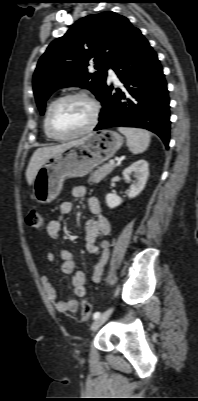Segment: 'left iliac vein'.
Masks as SVG:
<instances>
[{"instance_id": "left-iliac-vein-1", "label": "left iliac vein", "mask_w": 198, "mask_h": 401, "mask_svg": "<svg viewBox=\"0 0 198 401\" xmlns=\"http://www.w3.org/2000/svg\"><path fill=\"white\" fill-rule=\"evenodd\" d=\"M112 313V309H108L105 311L102 315H100L98 318H96L92 324H91V330H96L98 329L102 324L106 322V320L110 317Z\"/></svg>"}]
</instances>
